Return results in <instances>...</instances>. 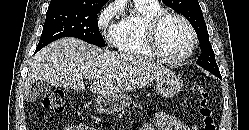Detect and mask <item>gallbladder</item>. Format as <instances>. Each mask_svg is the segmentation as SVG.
I'll return each instance as SVG.
<instances>
[{"label": "gallbladder", "instance_id": "gallbladder-1", "mask_svg": "<svg viewBox=\"0 0 249 130\" xmlns=\"http://www.w3.org/2000/svg\"><path fill=\"white\" fill-rule=\"evenodd\" d=\"M51 92V85L43 81L35 82L27 91L25 98L28 102H34L37 98H43Z\"/></svg>", "mask_w": 249, "mask_h": 130}]
</instances>
